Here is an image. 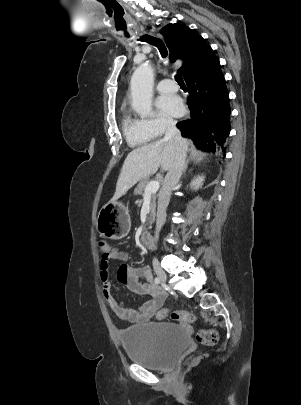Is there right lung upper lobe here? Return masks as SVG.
<instances>
[{
    "instance_id": "obj_1",
    "label": "right lung upper lobe",
    "mask_w": 301,
    "mask_h": 405,
    "mask_svg": "<svg viewBox=\"0 0 301 405\" xmlns=\"http://www.w3.org/2000/svg\"><path fill=\"white\" fill-rule=\"evenodd\" d=\"M160 33L169 49L171 62L183 60L184 64L179 71L184 78L217 59L205 40L183 24H168Z\"/></svg>"
}]
</instances>
